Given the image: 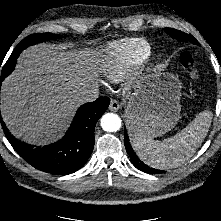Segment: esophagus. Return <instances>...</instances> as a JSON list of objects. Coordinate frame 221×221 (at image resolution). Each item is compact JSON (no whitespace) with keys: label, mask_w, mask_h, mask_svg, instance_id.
I'll list each match as a JSON object with an SVG mask.
<instances>
[{"label":"esophagus","mask_w":221,"mask_h":221,"mask_svg":"<svg viewBox=\"0 0 221 221\" xmlns=\"http://www.w3.org/2000/svg\"><path fill=\"white\" fill-rule=\"evenodd\" d=\"M119 106H120V105H119V103H118L117 100L111 99L110 105H109V110H110V111H113V112H116V111H118Z\"/></svg>","instance_id":"obj_1"}]
</instances>
